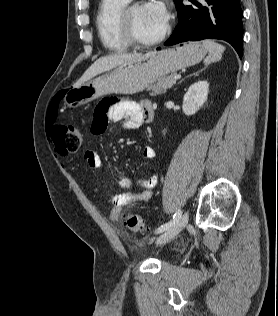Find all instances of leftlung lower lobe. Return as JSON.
<instances>
[{
  "label": "left lung lower lobe",
  "mask_w": 278,
  "mask_h": 316,
  "mask_svg": "<svg viewBox=\"0 0 278 316\" xmlns=\"http://www.w3.org/2000/svg\"><path fill=\"white\" fill-rule=\"evenodd\" d=\"M182 1L176 4L178 25L164 45L220 39L230 43L242 58L244 31L239 0H189L190 6Z\"/></svg>",
  "instance_id": "1"
}]
</instances>
